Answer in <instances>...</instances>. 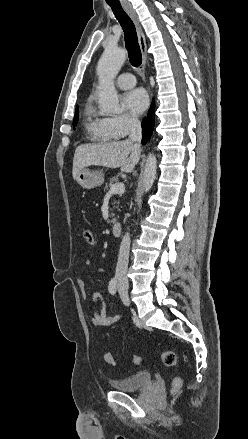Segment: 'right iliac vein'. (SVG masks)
Masks as SVG:
<instances>
[{"label":"right iliac vein","instance_id":"obj_1","mask_svg":"<svg viewBox=\"0 0 248 439\" xmlns=\"http://www.w3.org/2000/svg\"><path fill=\"white\" fill-rule=\"evenodd\" d=\"M122 294L128 296L126 291H122Z\"/></svg>","mask_w":248,"mask_h":439}]
</instances>
